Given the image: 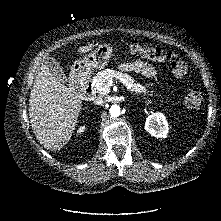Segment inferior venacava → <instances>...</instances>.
Wrapping results in <instances>:
<instances>
[{"instance_id":"obj_1","label":"inferior vena cava","mask_w":221,"mask_h":221,"mask_svg":"<svg viewBox=\"0 0 221 221\" xmlns=\"http://www.w3.org/2000/svg\"><path fill=\"white\" fill-rule=\"evenodd\" d=\"M95 103H97V104H102V103H103L102 98L99 97L98 99H96Z\"/></svg>"}]
</instances>
